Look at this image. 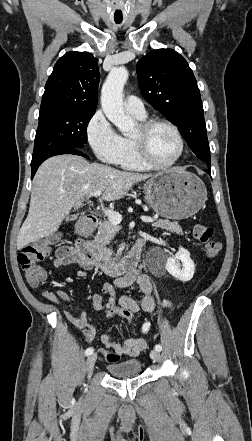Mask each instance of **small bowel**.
<instances>
[{"mask_svg":"<svg viewBox=\"0 0 252 441\" xmlns=\"http://www.w3.org/2000/svg\"><path fill=\"white\" fill-rule=\"evenodd\" d=\"M72 263H79L85 269L92 267L84 264L75 253L71 246H62L56 252V259L54 265L56 267H63ZM136 284L141 292L143 298L140 303L133 298L126 295H119L118 290ZM44 297L50 301L60 303L71 301V296L63 290H58L55 293L46 291ZM91 305L96 311H104L111 305H125L134 303L139 310L142 309L148 314H153L156 307L170 306L169 300H160L154 290V285L151 277L139 270L130 271L123 276L115 279L112 283H105L102 287V293H95L91 295ZM65 318L77 329L83 333L86 341H92L96 336V330L92 324L87 320L86 314L81 311L78 316L73 315L68 311H64ZM101 343L105 348L113 350L120 356L134 357L140 354L146 348V342L141 338H129L124 342L119 343L114 340L110 334L104 333L100 337Z\"/></svg>","mask_w":252,"mask_h":441,"instance_id":"1","label":"small bowel"}]
</instances>
